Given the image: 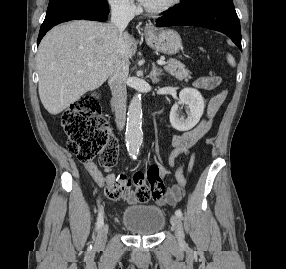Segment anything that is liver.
Instances as JSON below:
<instances>
[{"label":"liver","mask_w":286,"mask_h":269,"mask_svg":"<svg viewBox=\"0 0 286 269\" xmlns=\"http://www.w3.org/2000/svg\"><path fill=\"white\" fill-rule=\"evenodd\" d=\"M126 57L133 38L124 33ZM119 57L118 34L112 23L77 20L58 25L42 39L37 53L39 96L44 108L57 115L112 75Z\"/></svg>","instance_id":"liver-1"}]
</instances>
